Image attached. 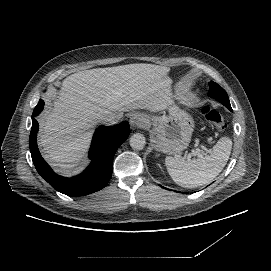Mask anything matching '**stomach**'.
<instances>
[{"instance_id": "1", "label": "stomach", "mask_w": 271, "mask_h": 271, "mask_svg": "<svg viewBox=\"0 0 271 271\" xmlns=\"http://www.w3.org/2000/svg\"><path fill=\"white\" fill-rule=\"evenodd\" d=\"M170 117H154L147 114H140L142 122H151L154 125L153 138L156 149L163 153H180L185 150L190 143L193 129L191 117L172 108Z\"/></svg>"}]
</instances>
